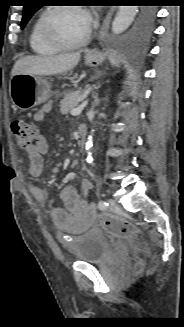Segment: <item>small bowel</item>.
I'll list each match as a JSON object with an SVG mask.
<instances>
[{
	"label": "small bowel",
	"instance_id": "obj_1",
	"mask_svg": "<svg viewBox=\"0 0 184 327\" xmlns=\"http://www.w3.org/2000/svg\"><path fill=\"white\" fill-rule=\"evenodd\" d=\"M52 108V103H47L34 114V121H43ZM49 150V142L45 133L38 134L35 143L26 149L29 161V172L33 177H39L44 169V155ZM92 182L84 179L81 183V194L72 185H67L60 191V207L50 209L54 224L60 230L71 234H80L89 229L95 222V208L88 202L87 196L92 190ZM31 193L39 204L48 203L47 191L38 185L30 187Z\"/></svg>",
	"mask_w": 184,
	"mask_h": 327
}]
</instances>
